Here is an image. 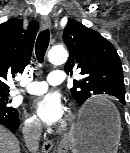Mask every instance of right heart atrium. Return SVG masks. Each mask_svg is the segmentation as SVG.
<instances>
[{
    "label": "right heart atrium",
    "instance_id": "right-heart-atrium-1",
    "mask_svg": "<svg viewBox=\"0 0 130 153\" xmlns=\"http://www.w3.org/2000/svg\"><path fill=\"white\" fill-rule=\"evenodd\" d=\"M23 129L30 136H37L40 132V124L33 116H26L23 121Z\"/></svg>",
    "mask_w": 130,
    "mask_h": 153
}]
</instances>
